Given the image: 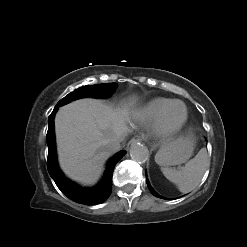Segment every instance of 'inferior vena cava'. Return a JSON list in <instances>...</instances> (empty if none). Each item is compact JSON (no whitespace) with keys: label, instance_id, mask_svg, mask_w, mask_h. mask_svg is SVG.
<instances>
[{"label":"inferior vena cava","instance_id":"1","mask_svg":"<svg viewBox=\"0 0 247 247\" xmlns=\"http://www.w3.org/2000/svg\"><path fill=\"white\" fill-rule=\"evenodd\" d=\"M122 141H123V138H116V139L111 140L106 145V148H107L108 152H110V153L117 152L121 147V142Z\"/></svg>","mask_w":247,"mask_h":247}]
</instances>
